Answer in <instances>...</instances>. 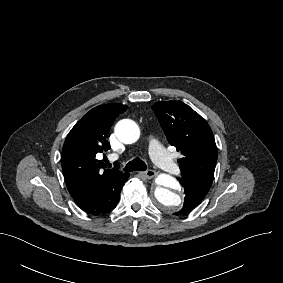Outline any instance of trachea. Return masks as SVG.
<instances>
[{
    "label": "trachea",
    "mask_w": 283,
    "mask_h": 283,
    "mask_svg": "<svg viewBox=\"0 0 283 283\" xmlns=\"http://www.w3.org/2000/svg\"><path fill=\"white\" fill-rule=\"evenodd\" d=\"M109 168L111 164L109 163ZM147 169V165L144 161L139 158H135L132 161L128 162L126 166L123 168L126 172H133V171H145Z\"/></svg>",
    "instance_id": "3493384b"
}]
</instances>
